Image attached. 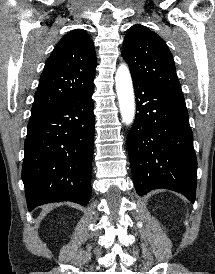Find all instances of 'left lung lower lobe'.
<instances>
[{
	"instance_id": "1",
	"label": "left lung lower lobe",
	"mask_w": 215,
	"mask_h": 274,
	"mask_svg": "<svg viewBox=\"0 0 215 274\" xmlns=\"http://www.w3.org/2000/svg\"><path fill=\"white\" fill-rule=\"evenodd\" d=\"M136 116L128 153L138 195L166 188L196 197L197 159L184 98L133 80Z\"/></svg>"
}]
</instances>
